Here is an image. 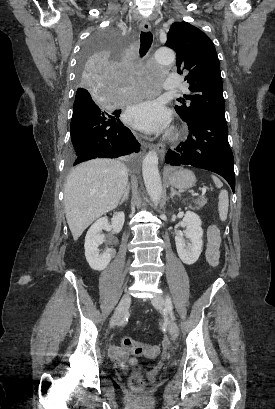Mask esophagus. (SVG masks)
I'll return each mask as SVG.
<instances>
[{
  "label": "esophagus",
  "mask_w": 275,
  "mask_h": 409,
  "mask_svg": "<svg viewBox=\"0 0 275 409\" xmlns=\"http://www.w3.org/2000/svg\"><path fill=\"white\" fill-rule=\"evenodd\" d=\"M139 29H140L142 32H150V30H151V25H150V23H149L147 20H142V22H141L140 25H139ZM145 146H146V147H150V144H146ZM155 148L158 150V152H159V154H160L161 156H164V155H165L166 147H165V144H163V142H158V143L155 145Z\"/></svg>",
  "instance_id": "obj_1"
}]
</instances>
